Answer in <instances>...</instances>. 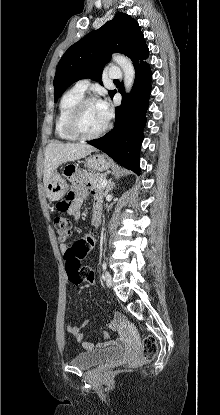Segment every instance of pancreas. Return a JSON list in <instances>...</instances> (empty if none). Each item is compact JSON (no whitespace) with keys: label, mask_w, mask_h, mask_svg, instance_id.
Here are the masks:
<instances>
[{"label":"pancreas","mask_w":220,"mask_h":415,"mask_svg":"<svg viewBox=\"0 0 220 415\" xmlns=\"http://www.w3.org/2000/svg\"><path fill=\"white\" fill-rule=\"evenodd\" d=\"M83 178L86 183L91 185L92 189H102L101 183L106 180V175L84 172Z\"/></svg>","instance_id":"1"}]
</instances>
